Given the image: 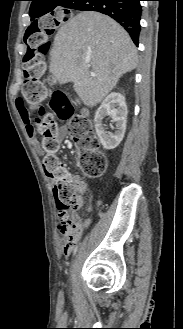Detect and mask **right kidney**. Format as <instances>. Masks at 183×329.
I'll use <instances>...</instances> for the list:
<instances>
[{
    "instance_id": "right-kidney-1",
    "label": "right kidney",
    "mask_w": 183,
    "mask_h": 329,
    "mask_svg": "<svg viewBox=\"0 0 183 329\" xmlns=\"http://www.w3.org/2000/svg\"><path fill=\"white\" fill-rule=\"evenodd\" d=\"M127 114L125 97L116 92L110 93L97 109L94 117L95 131L104 149H114L123 140ZM106 116L115 122L114 133L106 132V128L103 127V118Z\"/></svg>"
}]
</instances>
